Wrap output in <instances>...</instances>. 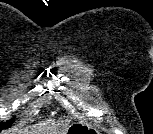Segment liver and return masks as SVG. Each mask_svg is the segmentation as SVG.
Segmentation results:
<instances>
[{"mask_svg":"<svg viewBox=\"0 0 153 134\" xmlns=\"http://www.w3.org/2000/svg\"><path fill=\"white\" fill-rule=\"evenodd\" d=\"M40 132H43V125L38 124L21 130L8 131L6 134H40Z\"/></svg>","mask_w":153,"mask_h":134,"instance_id":"liver-1","label":"liver"}]
</instances>
